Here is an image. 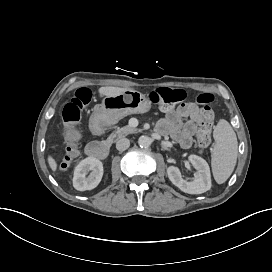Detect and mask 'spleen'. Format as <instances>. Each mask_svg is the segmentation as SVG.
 <instances>
[{"label":"spleen","mask_w":272,"mask_h":272,"mask_svg":"<svg viewBox=\"0 0 272 272\" xmlns=\"http://www.w3.org/2000/svg\"><path fill=\"white\" fill-rule=\"evenodd\" d=\"M213 138L215 140L211 166L215 181L224 183L232 174L238 153L236 134L231 125L224 119L219 120L214 127Z\"/></svg>","instance_id":"3e777b00"}]
</instances>
